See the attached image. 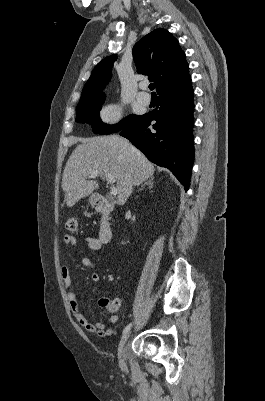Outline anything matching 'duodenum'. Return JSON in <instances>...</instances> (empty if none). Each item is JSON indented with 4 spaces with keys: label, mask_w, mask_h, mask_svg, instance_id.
I'll use <instances>...</instances> for the list:
<instances>
[{
    "label": "duodenum",
    "mask_w": 265,
    "mask_h": 401,
    "mask_svg": "<svg viewBox=\"0 0 265 401\" xmlns=\"http://www.w3.org/2000/svg\"><path fill=\"white\" fill-rule=\"evenodd\" d=\"M94 209L101 214V221L99 226V240L103 243H109L113 236L111 224L109 222V214L111 211L110 202L102 196H96L93 200Z\"/></svg>",
    "instance_id": "1"
}]
</instances>
